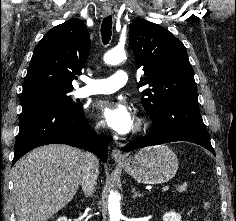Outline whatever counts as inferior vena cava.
<instances>
[{"instance_id":"inferior-vena-cava-1","label":"inferior vena cava","mask_w":236,"mask_h":221,"mask_svg":"<svg viewBox=\"0 0 236 221\" xmlns=\"http://www.w3.org/2000/svg\"><path fill=\"white\" fill-rule=\"evenodd\" d=\"M82 159L83 169L80 184L85 195L89 196L95 190L99 174V161L98 158L90 152H84Z\"/></svg>"}]
</instances>
